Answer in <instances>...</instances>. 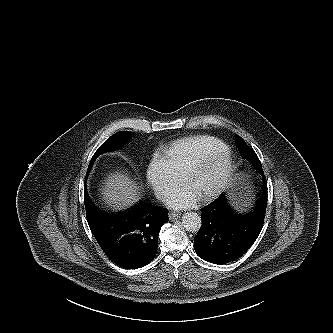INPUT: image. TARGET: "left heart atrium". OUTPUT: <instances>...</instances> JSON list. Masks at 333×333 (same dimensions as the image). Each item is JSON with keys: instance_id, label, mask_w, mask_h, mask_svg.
<instances>
[{"instance_id": "39dd6f15", "label": "left heart atrium", "mask_w": 333, "mask_h": 333, "mask_svg": "<svg viewBox=\"0 0 333 333\" xmlns=\"http://www.w3.org/2000/svg\"><path fill=\"white\" fill-rule=\"evenodd\" d=\"M198 195L190 188L185 187L172 193L167 202L174 208H187L192 206L197 200Z\"/></svg>"}]
</instances>
